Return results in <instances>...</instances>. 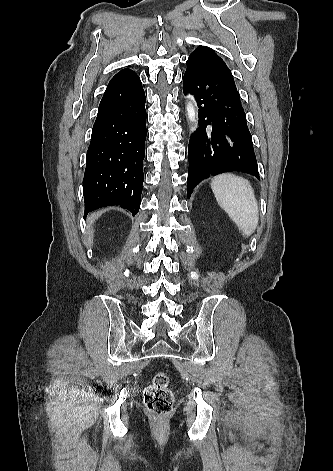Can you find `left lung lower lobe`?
<instances>
[{
  "instance_id": "0a47b994",
  "label": "left lung lower lobe",
  "mask_w": 333,
  "mask_h": 471,
  "mask_svg": "<svg viewBox=\"0 0 333 471\" xmlns=\"http://www.w3.org/2000/svg\"><path fill=\"white\" fill-rule=\"evenodd\" d=\"M186 64L183 91L194 95L199 107V126L188 147V196L199 181L224 171H242L259 179L252 136L234 81L207 54L193 52Z\"/></svg>"
}]
</instances>
